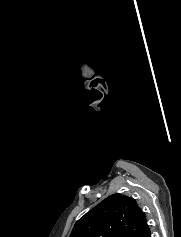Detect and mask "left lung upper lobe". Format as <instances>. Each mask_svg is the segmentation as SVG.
<instances>
[{"instance_id":"obj_1","label":"left lung upper lobe","mask_w":181,"mask_h":237,"mask_svg":"<svg viewBox=\"0 0 181 237\" xmlns=\"http://www.w3.org/2000/svg\"><path fill=\"white\" fill-rule=\"evenodd\" d=\"M147 227L135 199L117 193L80 218L69 237H140Z\"/></svg>"}]
</instances>
